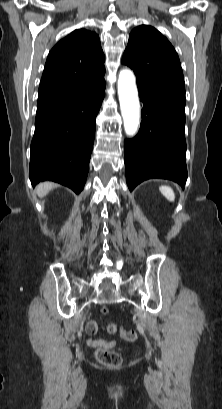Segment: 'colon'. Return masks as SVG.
I'll return each mask as SVG.
<instances>
[{
  "mask_svg": "<svg viewBox=\"0 0 222 409\" xmlns=\"http://www.w3.org/2000/svg\"><path fill=\"white\" fill-rule=\"evenodd\" d=\"M101 313L103 315H107L109 313V310L106 307H104L102 308ZM107 331L109 333H115L117 331H120L122 338L129 342H134L137 339L136 331L124 330L115 323L108 324ZM96 356L98 361L102 365L107 367H118L122 364V357L118 350H116L115 348L100 347L96 352Z\"/></svg>",
  "mask_w": 222,
  "mask_h": 409,
  "instance_id": "colon-1",
  "label": "colon"
}]
</instances>
